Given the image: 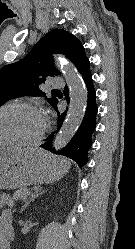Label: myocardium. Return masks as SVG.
I'll use <instances>...</instances> for the list:
<instances>
[{"label":"myocardium","instance_id":"obj_1","mask_svg":"<svg viewBox=\"0 0 135 249\" xmlns=\"http://www.w3.org/2000/svg\"><path fill=\"white\" fill-rule=\"evenodd\" d=\"M12 106H21V107L29 108V109L39 112L43 116L42 130L34 139H31V140L0 139V144L18 145V146H24V147L35 146L39 144L44 138L47 132V129H48L47 117H46V114L43 108L34 102L16 100V101L8 102L0 106V112Z\"/></svg>","mask_w":135,"mask_h":249}]
</instances>
